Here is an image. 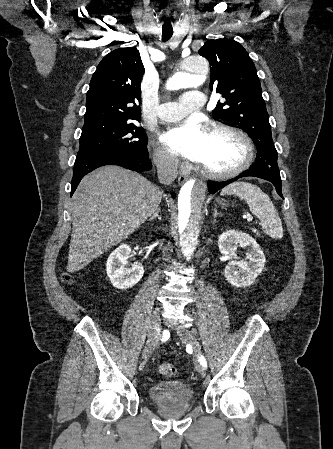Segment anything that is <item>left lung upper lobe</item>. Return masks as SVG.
I'll return each instance as SVG.
<instances>
[{
    "label": "left lung upper lobe",
    "instance_id": "obj_1",
    "mask_svg": "<svg viewBox=\"0 0 333 449\" xmlns=\"http://www.w3.org/2000/svg\"><path fill=\"white\" fill-rule=\"evenodd\" d=\"M210 63V89L225 101L212 114L241 128L257 147L251 167L279 172L269 116L255 65L243 46L231 39L209 40L199 50Z\"/></svg>",
    "mask_w": 333,
    "mask_h": 449
}]
</instances>
